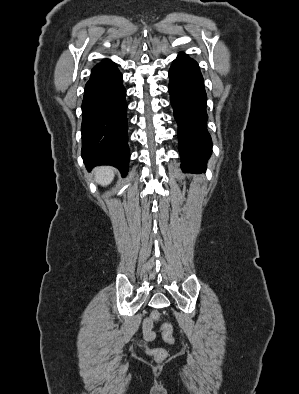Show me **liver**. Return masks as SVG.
<instances>
[{
	"mask_svg": "<svg viewBox=\"0 0 299 394\" xmlns=\"http://www.w3.org/2000/svg\"><path fill=\"white\" fill-rule=\"evenodd\" d=\"M95 180L98 184L106 186L114 178V170L111 167H98L94 170Z\"/></svg>",
	"mask_w": 299,
	"mask_h": 394,
	"instance_id": "liver-1",
	"label": "liver"
}]
</instances>
